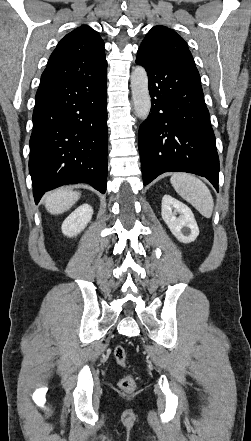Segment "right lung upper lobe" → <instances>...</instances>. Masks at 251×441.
Returning <instances> with one entry per match:
<instances>
[{
    "instance_id": "1",
    "label": "right lung upper lobe",
    "mask_w": 251,
    "mask_h": 441,
    "mask_svg": "<svg viewBox=\"0 0 251 441\" xmlns=\"http://www.w3.org/2000/svg\"><path fill=\"white\" fill-rule=\"evenodd\" d=\"M106 67L103 40L95 30L83 25L58 43L41 79L83 77Z\"/></svg>"
}]
</instances>
